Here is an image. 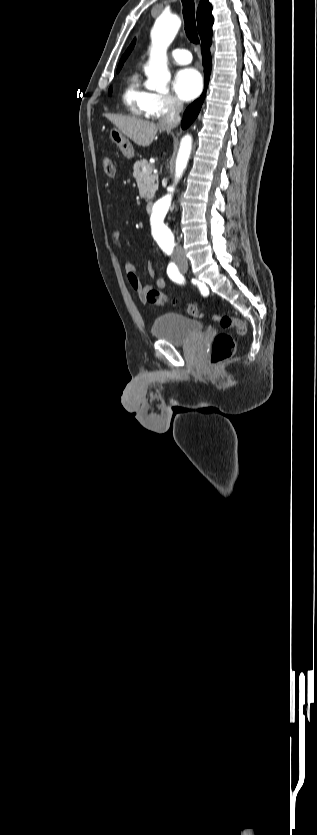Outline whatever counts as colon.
<instances>
[{"label": "colon", "mask_w": 317, "mask_h": 835, "mask_svg": "<svg viewBox=\"0 0 317 835\" xmlns=\"http://www.w3.org/2000/svg\"><path fill=\"white\" fill-rule=\"evenodd\" d=\"M104 173L113 178L116 175V164L114 160L110 157L103 158L102 161ZM146 300L156 306H167L170 303L169 298L163 294L158 289H150L145 293ZM186 312L195 318H201L203 313L199 310V308L194 304H186L184 306ZM212 320L218 323L222 328H235L237 334L239 336H244L247 331L246 324L233 316L230 315H219L215 314L212 316ZM236 344L235 339L232 335L228 333H219L215 336L212 343L211 354H210V361L213 365H218L230 357H232L235 353Z\"/></svg>", "instance_id": "obj_1"}]
</instances>
